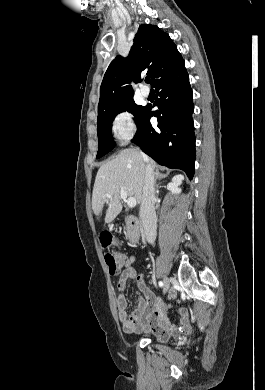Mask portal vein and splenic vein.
<instances>
[{
  "mask_svg": "<svg viewBox=\"0 0 265 390\" xmlns=\"http://www.w3.org/2000/svg\"><path fill=\"white\" fill-rule=\"evenodd\" d=\"M108 198H111V194H107L106 195ZM120 197L123 199V200H126L127 202V205L132 208V207H135L137 202H136V199L134 197H128L126 191L124 190V188H121V191H120Z\"/></svg>",
  "mask_w": 265,
  "mask_h": 390,
  "instance_id": "1",
  "label": "portal vein and splenic vein"
}]
</instances>
